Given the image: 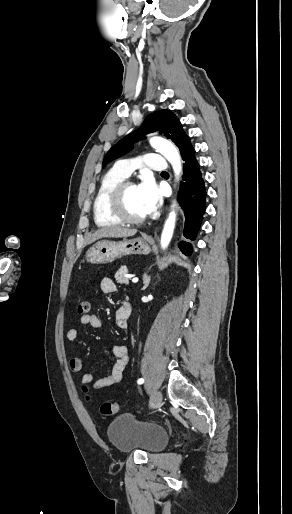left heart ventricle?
<instances>
[{
	"instance_id": "left-heart-ventricle-1",
	"label": "left heart ventricle",
	"mask_w": 292,
	"mask_h": 514,
	"mask_svg": "<svg viewBox=\"0 0 292 514\" xmlns=\"http://www.w3.org/2000/svg\"><path fill=\"white\" fill-rule=\"evenodd\" d=\"M122 207L124 212L131 217H139L146 214L136 187H129L125 190L122 196Z\"/></svg>"
}]
</instances>
